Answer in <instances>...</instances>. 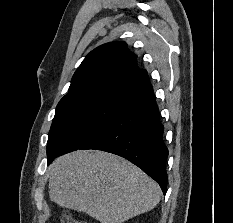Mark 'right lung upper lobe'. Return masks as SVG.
Returning a JSON list of instances; mask_svg holds the SVG:
<instances>
[{"label": "right lung upper lobe", "instance_id": "right-lung-upper-lobe-1", "mask_svg": "<svg viewBox=\"0 0 233 223\" xmlns=\"http://www.w3.org/2000/svg\"><path fill=\"white\" fill-rule=\"evenodd\" d=\"M137 66V56L125 42H111L91 51L73 75L65 96L91 91H125L148 81Z\"/></svg>", "mask_w": 233, "mask_h": 223}]
</instances>
